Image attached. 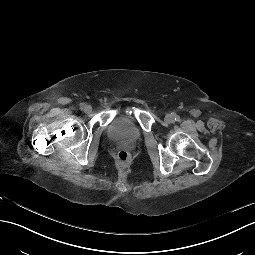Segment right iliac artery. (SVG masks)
<instances>
[{
	"label": "right iliac artery",
	"instance_id": "right-iliac-artery-1",
	"mask_svg": "<svg viewBox=\"0 0 255 255\" xmlns=\"http://www.w3.org/2000/svg\"><path fill=\"white\" fill-rule=\"evenodd\" d=\"M85 106H86V105H85L84 103H81V104H80V109H84Z\"/></svg>",
	"mask_w": 255,
	"mask_h": 255
}]
</instances>
